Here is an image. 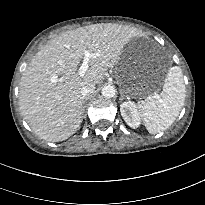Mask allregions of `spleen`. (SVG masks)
<instances>
[{
    "label": "spleen",
    "mask_w": 205,
    "mask_h": 205,
    "mask_svg": "<svg viewBox=\"0 0 205 205\" xmlns=\"http://www.w3.org/2000/svg\"><path fill=\"white\" fill-rule=\"evenodd\" d=\"M185 97L182 70L173 66L166 75L162 92L138 103L139 114L148 132L157 134L168 129L178 117Z\"/></svg>",
    "instance_id": "obj_1"
}]
</instances>
